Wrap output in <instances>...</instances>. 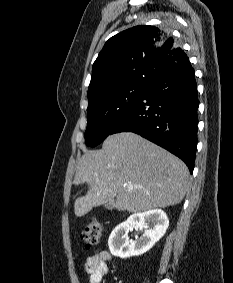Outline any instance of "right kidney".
Returning a JSON list of instances; mask_svg holds the SVG:
<instances>
[{
    "mask_svg": "<svg viewBox=\"0 0 233 283\" xmlns=\"http://www.w3.org/2000/svg\"><path fill=\"white\" fill-rule=\"evenodd\" d=\"M168 226V217L161 209L135 213L112 231L108 240L109 250L113 256L120 258L142 255L163 237ZM134 227L145 230L139 239L129 241L128 233Z\"/></svg>",
    "mask_w": 233,
    "mask_h": 283,
    "instance_id": "ca27d5eb",
    "label": "right kidney"
}]
</instances>
